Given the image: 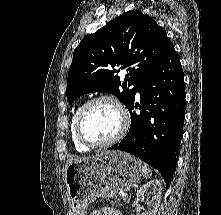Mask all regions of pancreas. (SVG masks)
<instances>
[{"label":"pancreas","mask_w":221,"mask_h":215,"mask_svg":"<svg viewBox=\"0 0 221 215\" xmlns=\"http://www.w3.org/2000/svg\"><path fill=\"white\" fill-rule=\"evenodd\" d=\"M121 200H122V197H119V196H115L114 199H112V200L108 199V201L112 205H116L117 207L121 206Z\"/></svg>","instance_id":"1"}]
</instances>
